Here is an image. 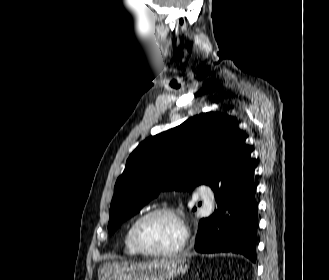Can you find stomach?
Here are the masks:
<instances>
[{
  "mask_svg": "<svg viewBox=\"0 0 329 280\" xmlns=\"http://www.w3.org/2000/svg\"><path fill=\"white\" fill-rule=\"evenodd\" d=\"M189 264L183 258L113 261L99 267L98 280H171L186 273Z\"/></svg>",
  "mask_w": 329,
  "mask_h": 280,
  "instance_id": "0dacf381",
  "label": "stomach"
}]
</instances>
